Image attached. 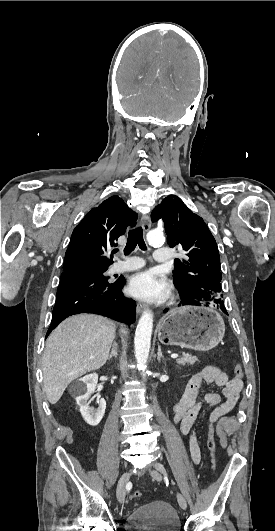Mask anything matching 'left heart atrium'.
Segmentation results:
<instances>
[{
	"instance_id": "1",
	"label": "left heart atrium",
	"mask_w": 275,
	"mask_h": 531,
	"mask_svg": "<svg viewBox=\"0 0 275 531\" xmlns=\"http://www.w3.org/2000/svg\"><path fill=\"white\" fill-rule=\"evenodd\" d=\"M130 293L141 299L159 298L166 289V280L153 269L142 270L129 279Z\"/></svg>"
}]
</instances>
